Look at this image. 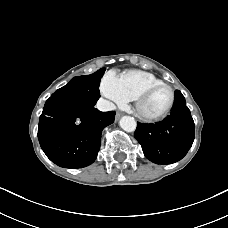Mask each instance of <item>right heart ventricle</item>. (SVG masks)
<instances>
[{
	"mask_svg": "<svg viewBox=\"0 0 228 228\" xmlns=\"http://www.w3.org/2000/svg\"><path fill=\"white\" fill-rule=\"evenodd\" d=\"M117 81L121 92L128 100H134L136 95L146 86L162 82L154 74L137 69L121 73L117 76Z\"/></svg>",
	"mask_w": 228,
	"mask_h": 228,
	"instance_id": "obj_1",
	"label": "right heart ventricle"
}]
</instances>
